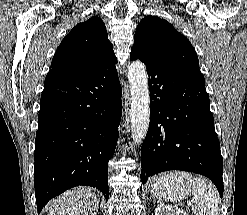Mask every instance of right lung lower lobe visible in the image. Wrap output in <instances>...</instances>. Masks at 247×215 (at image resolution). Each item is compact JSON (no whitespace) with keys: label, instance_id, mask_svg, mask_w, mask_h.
<instances>
[{"label":"right lung lower lobe","instance_id":"obj_1","mask_svg":"<svg viewBox=\"0 0 247 215\" xmlns=\"http://www.w3.org/2000/svg\"><path fill=\"white\" fill-rule=\"evenodd\" d=\"M116 62L85 75L48 72L35 139L38 214L50 199L78 185L95 187L108 200V161L122 111Z\"/></svg>","mask_w":247,"mask_h":215}]
</instances>
